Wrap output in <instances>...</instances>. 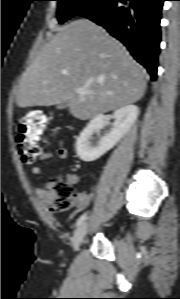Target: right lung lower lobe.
<instances>
[{
	"instance_id": "1",
	"label": "right lung lower lobe",
	"mask_w": 180,
	"mask_h": 299,
	"mask_svg": "<svg viewBox=\"0 0 180 299\" xmlns=\"http://www.w3.org/2000/svg\"><path fill=\"white\" fill-rule=\"evenodd\" d=\"M165 0H104L80 16L103 26L156 79Z\"/></svg>"
}]
</instances>
